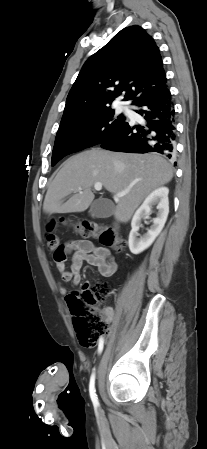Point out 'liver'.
Instances as JSON below:
<instances>
[{
    "mask_svg": "<svg viewBox=\"0 0 207 449\" xmlns=\"http://www.w3.org/2000/svg\"><path fill=\"white\" fill-rule=\"evenodd\" d=\"M172 177V166L156 154L87 150L63 164L46 193L43 211L48 214L85 211L94 199L93 185L100 182L114 195L129 191L118 199L113 212L116 220L126 223L146 196Z\"/></svg>",
    "mask_w": 207,
    "mask_h": 449,
    "instance_id": "liver-1",
    "label": "liver"
}]
</instances>
